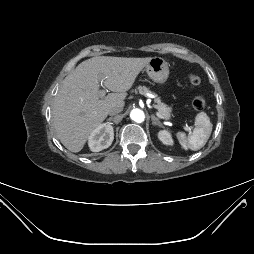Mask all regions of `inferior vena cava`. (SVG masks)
<instances>
[{
    "instance_id": "obj_1",
    "label": "inferior vena cava",
    "mask_w": 254,
    "mask_h": 254,
    "mask_svg": "<svg viewBox=\"0 0 254 254\" xmlns=\"http://www.w3.org/2000/svg\"><path fill=\"white\" fill-rule=\"evenodd\" d=\"M122 110H123L122 106H112L109 109L108 114L113 116V115H116V114L120 113Z\"/></svg>"
}]
</instances>
